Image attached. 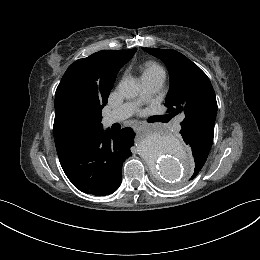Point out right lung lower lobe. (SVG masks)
Wrapping results in <instances>:
<instances>
[{
    "instance_id": "obj_1",
    "label": "right lung lower lobe",
    "mask_w": 260,
    "mask_h": 260,
    "mask_svg": "<svg viewBox=\"0 0 260 260\" xmlns=\"http://www.w3.org/2000/svg\"><path fill=\"white\" fill-rule=\"evenodd\" d=\"M135 133L130 127L113 132L103 128L81 133L57 148L60 164L80 191L104 196L118 189L122 165L132 155Z\"/></svg>"
}]
</instances>
